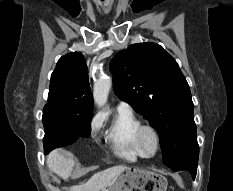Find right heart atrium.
I'll use <instances>...</instances> for the list:
<instances>
[{"instance_id":"obj_1","label":"right heart atrium","mask_w":233,"mask_h":191,"mask_svg":"<svg viewBox=\"0 0 233 191\" xmlns=\"http://www.w3.org/2000/svg\"><path fill=\"white\" fill-rule=\"evenodd\" d=\"M101 118L100 117H98V116H96L93 120H92V123H91V133L92 134H95L98 130H99V128H100V126H101Z\"/></svg>"}]
</instances>
